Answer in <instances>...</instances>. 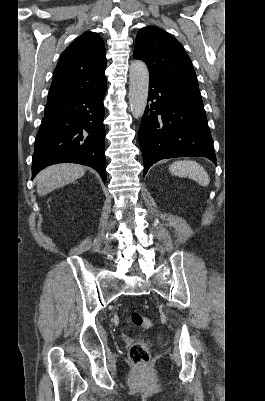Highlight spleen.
Returning <instances> with one entry per match:
<instances>
[{
	"label": "spleen",
	"mask_w": 265,
	"mask_h": 401,
	"mask_svg": "<svg viewBox=\"0 0 265 401\" xmlns=\"http://www.w3.org/2000/svg\"><path fill=\"white\" fill-rule=\"evenodd\" d=\"M169 170L172 174H176V176L193 178L201 186H208L210 182L208 172L196 160H176V162L170 164Z\"/></svg>",
	"instance_id": "1"
}]
</instances>
